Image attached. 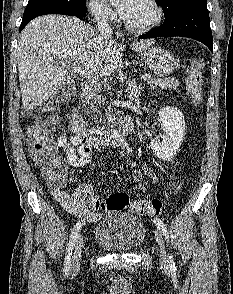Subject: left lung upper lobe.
Listing matches in <instances>:
<instances>
[{
	"mask_svg": "<svg viewBox=\"0 0 233 294\" xmlns=\"http://www.w3.org/2000/svg\"><path fill=\"white\" fill-rule=\"evenodd\" d=\"M155 1L161 5L164 15L169 14L176 7L182 4H186V3L200 4V5L207 4V0H155Z\"/></svg>",
	"mask_w": 233,
	"mask_h": 294,
	"instance_id": "left-lung-upper-lobe-1",
	"label": "left lung upper lobe"
}]
</instances>
